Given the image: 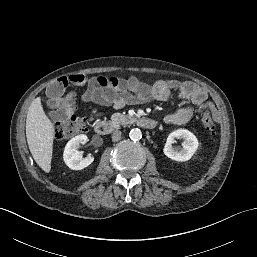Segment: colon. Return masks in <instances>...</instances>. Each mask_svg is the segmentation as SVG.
Instances as JSON below:
<instances>
[{"label": "colon", "instance_id": "colon-1", "mask_svg": "<svg viewBox=\"0 0 257 257\" xmlns=\"http://www.w3.org/2000/svg\"><path fill=\"white\" fill-rule=\"evenodd\" d=\"M88 77L83 74L63 76L57 78L48 88L52 96L58 98L56 105L58 108L59 120L55 124L54 136L58 140H66L87 130L91 122V118H80L73 114L74 110V94L72 92L65 93L69 83L83 86L87 84ZM202 127L210 136L215 134V125L210 113V104L204 100L202 103Z\"/></svg>", "mask_w": 257, "mask_h": 257}]
</instances>
